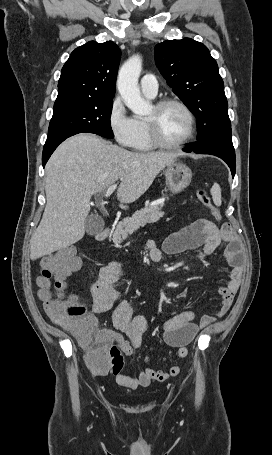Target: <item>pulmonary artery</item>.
Instances as JSON below:
<instances>
[{
  "instance_id": "obj_1",
  "label": "pulmonary artery",
  "mask_w": 272,
  "mask_h": 455,
  "mask_svg": "<svg viewBox=\"0 0 272 455\" xmlns=\"http://www.w3.org/2000/svg\"><path fill=\"white\" fill-rule=\"evenodd\" d=\"M140 88L145 95L155 97L158 91L156 77L153 74H145L140 80Z\"/></svg>"
}]
</instances>
